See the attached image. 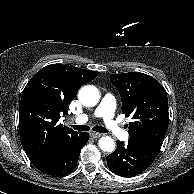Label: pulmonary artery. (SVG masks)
<instances>
[{
	"label": "pulmonary artery",
	"instance_id": "obj_1",
	"mask_svg": "<svg viewBox=\"0 0 194 194\" xmlns=\"http://www.w3.org/2000/svg\"><path fill=\"white\" fill-rule=\"evenodd\" d=\"M116 109V101L113 95L106 94L97 109L94 112L95 117L102 118L105 126L110 131L112 135L117 138L124 140L128 139L127 132H125L119 123L114 119V113ZM75 122L77 123H86L89 120L87 114H80L75 117Z\"/></svg>",
	"mask_w": 194,
	"mask_h": 194
}]
</instances>
